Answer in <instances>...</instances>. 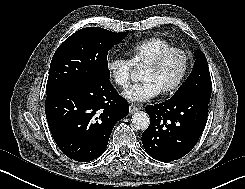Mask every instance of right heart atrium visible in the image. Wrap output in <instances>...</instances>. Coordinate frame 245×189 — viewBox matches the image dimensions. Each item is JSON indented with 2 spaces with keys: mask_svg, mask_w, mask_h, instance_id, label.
Here are the masks:
<instances>
[{
  "mask_svg": "<svg viewBox=\"0 0 245 189\" xmlns=\"http://www.w3.org/2000/svg\"><path fill=\"white\" fill-rule=\"evenodd\" d=\"M106 70L115 85L123 89L128 87L133 71V66L128 59L122 57L108 58Z\"/></svg>",
  "mask_w": 245,
  "mask_h": 189,
  "instance_id": "1",
  "label": "right heart atrium"
}]
</instances>
